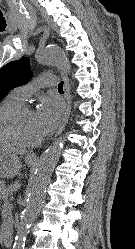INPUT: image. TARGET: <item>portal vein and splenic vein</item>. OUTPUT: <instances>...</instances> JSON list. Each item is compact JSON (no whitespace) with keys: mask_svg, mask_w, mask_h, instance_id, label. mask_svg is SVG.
I'll return each mask as SVG.
<instances>
[{"mask_svg":"<svg viewBox=\"0 0 135 249\" xmlns=\"http://www.w3.org/2000/svg\"><path fill=\"white\" fill-rule=\"evenodd\" d=\"M14 199H15L14 196L10 197V201H14Z\"/></svg>","mask_w":135,"mask_h":249,"instance_id":"obj_1","label":"portal vein and splenic vein"}]
</instances>
